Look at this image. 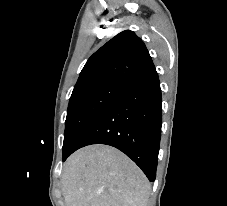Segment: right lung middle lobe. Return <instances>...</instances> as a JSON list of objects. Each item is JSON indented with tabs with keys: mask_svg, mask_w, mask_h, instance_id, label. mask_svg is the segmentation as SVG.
<instances>
[{
	"mask_svg": "<svg viewBox=\"0 0 227 206\" xmlns=\"http://www.w3.org/2000/svg\"><path fill=\"white\" fill-rule=\"evenodd\" d=\"M128 82L107 79L73 91L67 110L63 159L74 149L90 124L127 88Z\"/></svg>",
	"mask_w": 227,
	"mask_h": 206,
	"instance_id": "right-lung-middle-lobe-1",
	"label": "right lung middle lobe"
}]
</instances>
